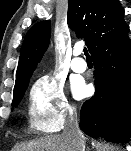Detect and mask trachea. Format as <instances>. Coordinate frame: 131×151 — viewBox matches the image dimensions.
Segmentation results:
<instances>
[{
  "label": "trachea",
  "instance_id": "3493384b",
  "mask_svg": "<svg viewBox=\"0 0 131 151\" xmlns=\"http://www.w3.org/2000/svg\"><path fill=\"white\" fill-rule=\"evenodd\" d=\"M83 52H84V55L86 56V59H90V55H89V53L87 51V48H84Z\"/></svg>",
  "mask_w": 131,
  "mask_h": 151
}]
</instances>
